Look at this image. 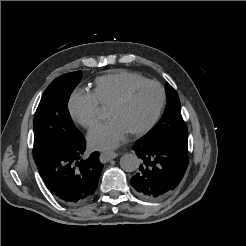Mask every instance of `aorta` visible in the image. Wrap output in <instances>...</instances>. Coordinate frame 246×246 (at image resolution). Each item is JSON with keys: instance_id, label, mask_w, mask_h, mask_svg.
<instances>
[{"instance_id": "obj_1", "label": "aorta", "mask_w": 246, "mask_h": 246, "mask_svg": "<svg viewBox=\"0 0 246 246\" xmlns=\"http://www.w3.org/2000/svg\"><path fill=\"white\" fill-rule=\"evenodd\" d=\"M141 160L138 158L137 155L127 153L124 154L120 159V166L126 172H133L138 169Z\"/></svg>"}]
</instances>
